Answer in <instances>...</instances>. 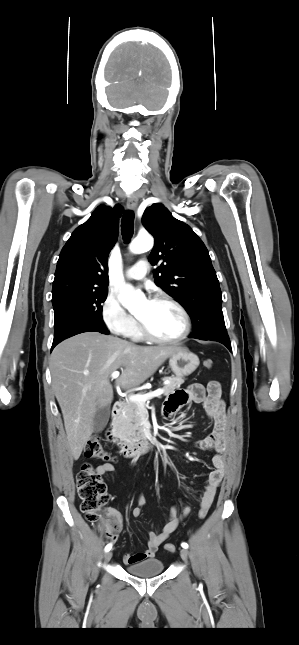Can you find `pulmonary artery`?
<instances>
[{
	"label": "pulmonary artery",
	"instance_id": "pulmonary-artery-1",
	"mask_svg": "<svg viewBox=\"0 0 299 645\" xmlns=\"http://www.w3.org/2000/svg\"><path fill=\"white\" fill-rule=\"evenodd\" d=\"M149 270L146 260H140L126 271V277L130 280H142Z\"/></svg>",
	"mask_w": 299,
	"mask_h": 645
}]
</instances>
